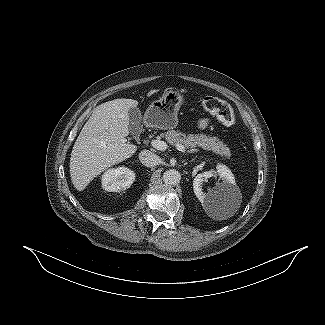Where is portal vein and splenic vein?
Returning a JSON list of instances; mask_svg holds the SVG:
<instances>
[{
  "instance_id": "obj_1",
  "label": "portal vein and splenic vein",
  "mask_w": 325,
  "mask_h": 325,
  "mask_svg": "<svg viewBox=\"0 0 325 325\" xmlns=\"http://www.w3.org/2000/svg\"><path fill=\"white\" fill-rule=\"evenodd\" d=\"M151 145L153 146V148L160 150V151H165L168 148V145L166 144V142L161 141V140H152L151 141ZM176 149L181 151L182 153H195L198 152V149H190V150H186L185 147L181 144H176Z\"/></svg>"
}]
</instances>
